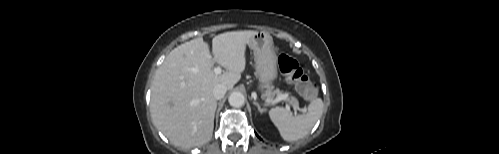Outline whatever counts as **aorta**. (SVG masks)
Masks as SVG:
<instances>
[{"mask_svg": "<svg viewBox=\"0 0 499 154\" xmlns=\"http://www.w3.org/2000/svg\"><path fill=\"white\" fill-rule=\"evenodd\" d=\"M228 102L232 107H241L245 103V97L241 92H233L229 96Z\"/></svg>", "mask_w": 499, "mask_h": 154, "instance_id": "1", "label": "aorta"}]
</instances>
